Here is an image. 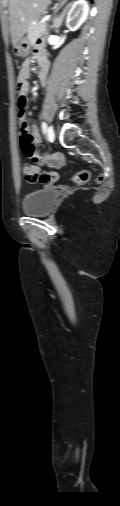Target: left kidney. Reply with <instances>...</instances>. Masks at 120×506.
<instances>
[{
  "mask_svg": "<svg viewBox=\"0 0 120 506\" xmlns=\"http://www.w3.org/2000/svg\"><path fill=\"white\" fill-rule=\"evenodd\" d=\"M89 5L85 0L74 2L67 14L66 26L71 31H76L87 19Z\"/></svg>",
  "mask_w": 120,
  "mask_h": 506,
  "instance_id": "5707ae66",
  "label": "left kidney"
}]
</instances>
